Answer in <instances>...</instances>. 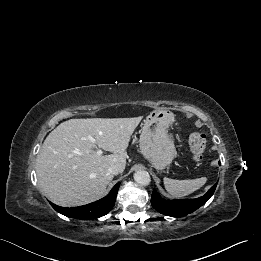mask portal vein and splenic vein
Here are the masks:
<instances>
[{
	"mask_svg": "<svg viewBox=\"0 0 261 261\" xmlns=\"http://www.w3.org/2000/svg\"><path fill=\"white\" fill-rule=\"evenodd\" d=\"M88 140H90L93 144H96V139L93 138L91 135L88 136ZM102 153H103L102 150L100 149L97 150L98 155H102Z\"/></svg>",
	"mask_w": 261,
	"mask_h": 261,
	"instance_id": "1",
	"label": "portal vein and splenic vein"
}]
</instances>
